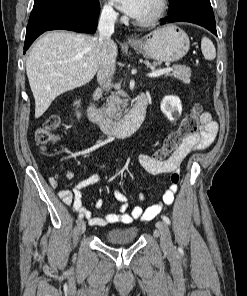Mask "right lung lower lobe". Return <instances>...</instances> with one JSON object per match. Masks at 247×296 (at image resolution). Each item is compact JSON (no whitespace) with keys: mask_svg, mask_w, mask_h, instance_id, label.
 Segmentation results:
<instances>
[{"mask_svg":"<svg viewBox=\"0 0 247 296\" xmlns=\"http://www.w3.org/2000/svg\"><path fill=\"white\" fill-rule=\"evenodd\" d=\"M99 12L100 6L86 9L76 0H55L33 7L27 25L24 53L45 31L65 29L94 33Z\"/></svg>","mask_w":247,"mask_h":296,"instance_id":"1","label":"right lung lower lobe"}]
</instances>
